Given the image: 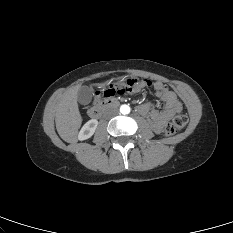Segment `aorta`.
I'll list each match as a JSON object with an SVG mask.
<instances>
[{
    "mask_svg": "<svg viewBox=\"0 0 233 233\" xmlns=\"http://www.w3.org/2000/svg\"><path fill=\"white\" fill-rule=\"evenodd\" d=\"M120 112L122 113V114H129L130 113V107L128 106V105H122L121 107H120Z\"/></svg>",
    "mask_w": 233,
    "mask_h": 233,
    "instance_id": "762f6f07",
    "label": "aorta"
}]
</instances>
